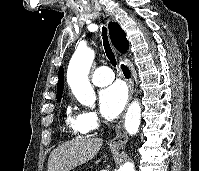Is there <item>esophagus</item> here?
<instances>
[{
  "label": "esophagus",
  "mask_w": 199,
  "mask_h": 171,
  "mask_svg": "<svg viewBox=\"0 0 199 171\" xmlns=\"http://www.w3.org/2000/svg\"><path fill=\"white\" fill-rule=\"evenodd\" d=\"M127 85L129 89V97H128V104H129L134 92V83L132 79H127ZM115 131H116V135L113 139H111L110 146L115 147V148H122L126 145L128 141V135L124 129L123 118L115 126Z\"/></svg>",
  "instance_id": "obj_1"
}]
</instances>
